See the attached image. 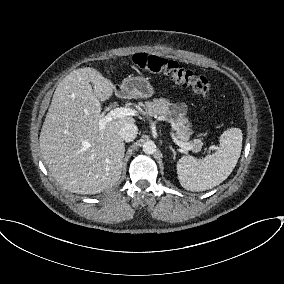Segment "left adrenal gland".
Wrapping results in <instances>:
<instances>
[{
	"instance_id": "1",
	"label": "left adrenal gland",
	"mask_w": 284,
	"mask_h": 284,
	"mask_svg": "<svg viewBox=\"0 0 284 284\" xmlns=\"http://www.w3.org/2000/svg\"><path fill=\"white\" fill-rule=\"evenodd\" d=\"M169 148L173 153V157L175 158L176 157V150L171 145L169 146Z\"/></svg>"
}]
</instances>
